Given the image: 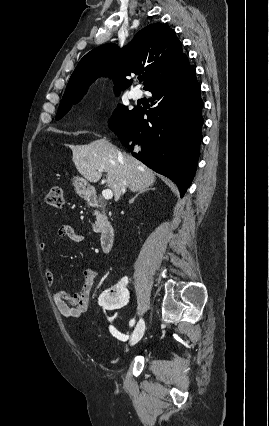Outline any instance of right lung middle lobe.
<instances>
[{
	"label": "right lung middle lobe",
	"mask_w": 269,
	"mask_h": 426,
	"mask_svg": "<svg viewBox=\"0 0 269 426\" xmlns=\"http://www.w3.org/2000/svg\"><path fill=\"white\" fill-rule=\"evenodd\" d=\"M82 97L83 96L62 99L56 115V120L61 119L71 109L72 104L78 103L82 99ZM130 112L131 110H128L126 106L119 105V107L114 111L110 119V128L114 130L119 127Z\"/></svg>",
	"instance_id": "dd1d6c3e"
}]
</instances>
